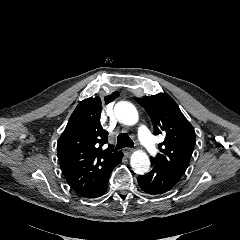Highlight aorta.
<instances>
[{
    "label": "aorta",
    "instance_id": "762f6f07",
    "mask_svg": "<svg viewBox=\"0 0 240 240\" xmlns=\"http://www.w3.org/2000/svg\"><path fill=\"white\" fill-rule=\"evenodd\" d=\"M114 113L119 122L125 125H134L138 122V112L133 104L121 101L115 105ZM130 165L135 173H147L150 169V159L148 155L141 150L135 151L130 159Z\"/></svg>",
    "mask_w": 240,
    "mask_h": 240
}]
</instances>
